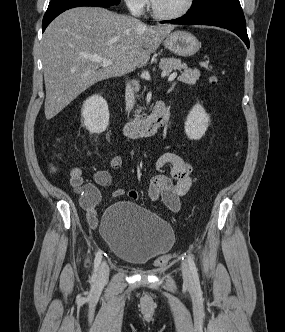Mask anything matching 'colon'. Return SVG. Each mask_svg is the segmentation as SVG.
<instances>
[{
  "instance_id": "colon-1",
  "label": "colon",
  "mask_w": 285,
  "mask_h": 332,
  "mask_svg": "<svg viewBox=\"0 0 285 332\" xmlns=\"http://www.w3.org/2000/svg\"><path fill=\"white\" fill-rule=\"evenodd\" d=\"M215 82H216V79L213 78V79H212V83H215ZM169 258H170L169 255L162 256V257H160V258H158V259L156 260L155 264H156L157 266L165 265L166 263H168Z\"/></svg>"
}]
</instances>
